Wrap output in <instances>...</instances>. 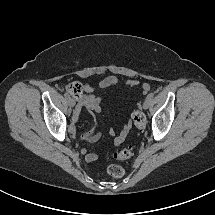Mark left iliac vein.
<instances>
[{
  "instance_id": "left-iliac-vein-1",
  "label": "left iliac vein",
  "mask_w": 215,
  "mask_h": 215,
  "mask_svg": "<svg viewBox=\"0 0 215 215\" xmlns=\"http://www.w3.org/2000/svg\"><path fill=\"white\" fill-rule=\"evenodd\" d=\"M150 106V100L149 99H145L143 102V108L144 109H148Z\"/></svg>"
}]
</instances>
